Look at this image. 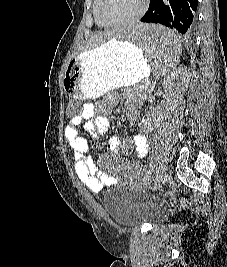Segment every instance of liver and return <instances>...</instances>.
Segmentation results:
<instances>
[{
	"mask_svg": "<svg viewBox=\"0 0 227 267\" xmlns=\"http://www.w3.org/2000/svg\"><path fill=\"white\" fill-rule=\"evenodd\" d=\"M123 31L124 30H117V27H116L112 30L98 32L90 37V40L88 41L87 45L90 48L98 47L102 45L103 43H105L106 41L116 38L117 36H119V33H124Z\"/></svg>",
	"mask_w": 227,
	"mask_h": 267,
	"instance_id": "liver-1",
	"label": "liver"
}]
</instances>
